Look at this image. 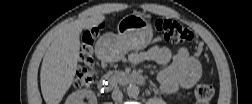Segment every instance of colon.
<instances>
[{"mask_svg":"<svg viewBox=\"0 0 252 104\" xmlns=\"http://www.w3.org/2000/svg\"><path fill=\"white\" fill-rule=\"evenodd\" d=\"M153 28L167 43L189 42L194 34L177 20L157 19L153 22ZM99 31L96 28L87 30L82 35L80 48V64L75 74L74 86L84 88L90 86L96 79V72L93 61V44L98 37ZM214 90L207 83H200L195 88V98L198 103L206 104L211 101Z\"/></svg>","mask_w":252,"mask_h":104,"instance_id":"colon-1","label":"colon"}]
</instances>
